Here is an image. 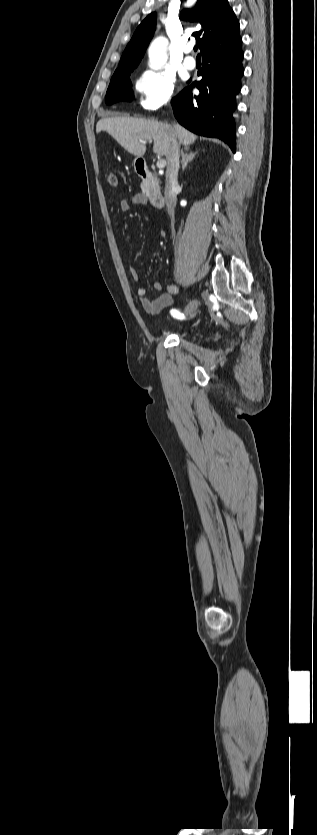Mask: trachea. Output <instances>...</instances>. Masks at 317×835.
I'll use <instances>...</instances> for the list:
<instances>
[{
  "mask_svg": "<svg viewBox=\"0 0 317 835\" xmlns=\"http://www.w3.org/2000/svg\"><path fill=\"white\" fill-rule=\"evenodd\" d=\"M197 50H198V46H194V51L196 52Z\"/></svg>",
  "mask_w": 317,
  "mask_h": 835,
  "instance_id": "3493384b",
  "label": "trachea"
}]
</instances>
